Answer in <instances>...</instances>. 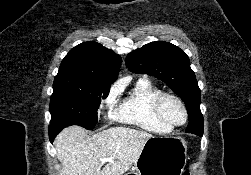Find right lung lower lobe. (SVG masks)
Masks as SVG:
<instances>
[{
	"mask_svg": "<svg viewBox=\"0 0 251 175\" xmlns=\"http://www.w3.org/2000/svg\"><path fill=\"white\" fill-rule=\"evenodd\" d=\"M58 133H59L58 130L52 131V130H50V128H49V138H50L51 143L53 142L54 138L56 137V135H57Z\"/></svg>",
	"mask_w": 251,
	"mask_h": 175,
	"instance_id": "98d812e1",
	"label": "right lung lower lobe"
}]
</instances>
